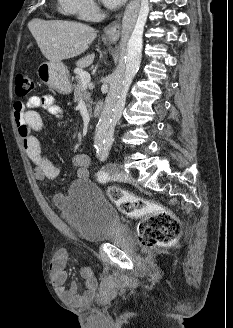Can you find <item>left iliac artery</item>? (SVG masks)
Instances as JSON below:
<instances>
[{
    "mask_svg": "<svg viewBox=\"0 0 233 328\" xmlns=\"http://www.w3.org/2000/svg\"><path fill=\"white\" fill-rule=\"evenodd\" d=\"M110 147L104 146V147H97V153L98 157L100 158L101 161H105L108 157ZM112 177L107 171H100L97 173V180L100 183H106L109 181Z\"/></svg>",
    "mask_w": 233,
    "mask_h": 328,
    "instance_id": "left-iliac-artery-1",
    "label": "left iliac artery"
}]
</instances>
